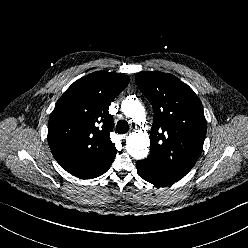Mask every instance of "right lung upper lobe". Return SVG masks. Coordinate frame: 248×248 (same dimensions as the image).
I'll list each match as a JSON object with an SVG mask.
<instances>
[{
	"instance_id": "right-lung-upper-lobe-1",
	"label": "right lung upper lobe",
	"mask_w": 248,
	"mask_h": 248,
	"mask_svg": "<svg viewBox=\"0 0 248 248\" xmlns=\"http://www.w3.org/2000/svg\"><path fill=\"white\" fill-rule=\"evenodd\" d=\"M121 73L98 71L75 81L58 100L48 123L54 158L81 179L99 176L116 153L110 140L111 101L129 83Z\"/></svg>"
}]
</instances>
